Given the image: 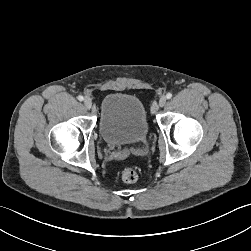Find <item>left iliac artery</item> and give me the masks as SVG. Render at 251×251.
Masks as SVG:
<instances>
[{
  "mask_svg": "<svg viewBox=\"0 0 251 251\" xmlns=\"http://www.w3.org/2000/svg\"><path fill=\"white\" fill-rule=\"evenodd\" d=\"M166 98H167V99L172 98V93H167V94H166Z\"/></svg>",
  "mask_w": 251,
  "mask_h": 251,
  "instance_id": "left-iliac-artery-1",
  "label": "left iliac artery"
}]
</instances>
